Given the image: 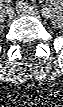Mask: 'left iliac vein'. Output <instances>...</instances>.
Here are the masks:
<instances>
[{"label": "left iliac vein", "mask_w": 63, "mask_h": 107, "mask_svg": "<svg viewBox=\"0 0 63 107\" xmlns=\"http://www.w3.org/2000/svg\"><path fill=\"white\" fill-rule=\"evenodd\" d=\"M17 11L18 13L22 14V15H30V16H34L39 18V12L34 9L33 7H30L28 4H24V5H19L17 6Z\"/></svg>", "instance_id": "4c4485c4"}]
</instances>
